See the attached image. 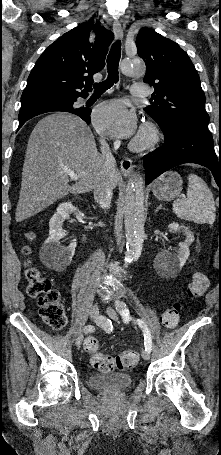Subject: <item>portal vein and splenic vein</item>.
I'll return each instance as SVG.
<instances>
[{"label": "portal vein and splenic vein", "mask_w": 221, "mask_h": 455, "mask_svg": "<svg viewBox=\"0 0 221 455\" xmlns=\"http://www.w3.org/2000/svg\"><path fill=\"white\" fill-rule=\"evenodd\" d=\"M65 172L70 176V178L72 180H76L77 181L79 179V176L76 173H74L73 171L65 170Z\"/></svg>", "instance_id": "1"}]
</instances>
